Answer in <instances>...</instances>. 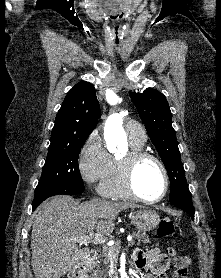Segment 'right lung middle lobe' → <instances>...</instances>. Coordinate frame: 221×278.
<instances>
[{
  "label": "right lung middle lobe",
  "instance_id": "1",
  "mask_svg": "<svg viewBox=\"0 0 221 278\" xmlns=\"http://www.w3.org/2000/svg\"><path fill=\"white\" fill-rule=\"evenodd\" d=\"M86 139L49 146L40 181L35 190L34 201L41 200L49 192L60 187L84 189L80 175L78 157Z\"/></svg>",
  "mask_w": 221,
  "mask_h": 278
}]
</instances>
